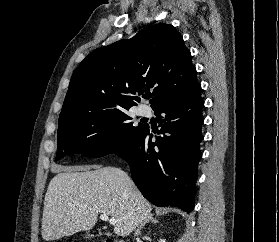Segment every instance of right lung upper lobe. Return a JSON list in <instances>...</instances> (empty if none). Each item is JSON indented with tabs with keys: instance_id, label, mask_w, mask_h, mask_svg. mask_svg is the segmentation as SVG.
I'll list each match as a JSON object with an SVG mask.
<instances>
[{
	"instance_id": "cb5924a9",
	"label": "right lung upper lobe",
	"mask_w": 279,
	"mask_h": 242,
	"mask_svg": "<svg viewBox=\"0 0 279 242\" xmlns=\"http://www.w3.org/2000/svg\"><path fill=\"white\" fill-rule=\"evenodd\" d=\"M181 34L169 24L142 29L131 39L91 52L75 69L59 124L110 117L137 105L154 87L151 107L191 92L199 85Z\"/></svg>"
}]
</instances>
